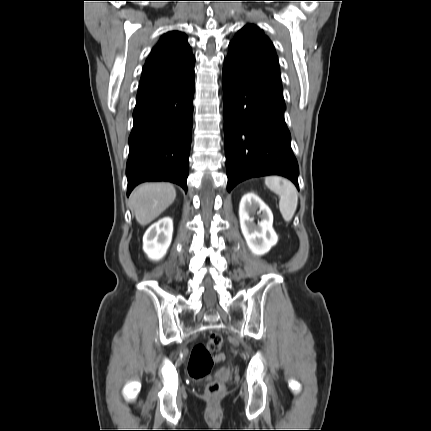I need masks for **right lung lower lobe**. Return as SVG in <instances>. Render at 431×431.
Instances as JSON below:
<instances>
[{"mask_svg":"<svg viewBox=\"0 0 431 431\" xmlns=\"http://www.w3.org/2000/svg\"><path fill=\"white\" fill-rule=\"evenodd\" d=\"M194 78L173 93L136 106L129 136L127 196L145 181H169L187 192Z\"/></svg>","mask_w":431,"mask_h":431,"instance_id":"1","label":"right lung lower lobe"}]
</instances>
